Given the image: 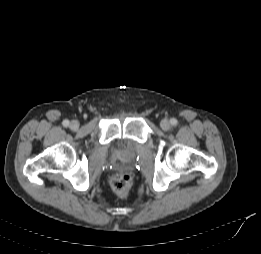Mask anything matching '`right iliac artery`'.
<instances>
[{"label":"right iliac artery","instance_id":"obj_1","mask_svg":"<svg viewBox=\"0 0 261 254\" xmlns=\"http://www.w3.org/2000/svg\"><path fill=\"white\" fill-rule=\"evenodd\" d=\"M63 126H65V127L69 126V120H64L63 121Z\"/></svg>","mask_w":261,"mask_h":254}]
</instances>
